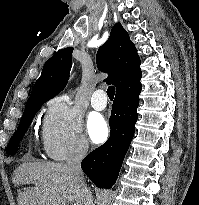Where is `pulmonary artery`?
<instances>
[{
  "instance_id": "1",
  "label": "pulmonary artery",
  "mask_w": 199,
  "mask_h": 205,
  "mask_svg": "<svg viewBox=\"0 0 199 205\" xmlns=\"http://www.w3.org/2000/svg\"><path fill=\"white\" fill-rule=\"evenodd\" d=\"M107 98L102 89H97L94 91L91 97V105L95 110H104L107 106Z\"/></svg>"
}]
</instances>
